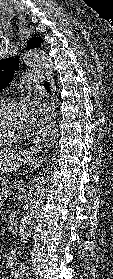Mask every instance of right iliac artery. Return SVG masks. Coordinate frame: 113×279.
I'll list each match as a JSON object with an SVG mask.
<instances>
[{
	"mask_svg": "<svg viewBox=\"0 0 113 279\" xmlns=\"http://www.w3.org/2000/svg\"><path fill=\"white\" fill-rule=\"evenodd\" d=\"M18 271H19V270H15V271H14V274H15L16 272H18Z\"/></svg>",
	"mask_w": 113,
	"mask_h": 279,
	"instance_id": "right-iliac-artery-1",
	"label": "right iliac artery"
}]
</instances>
